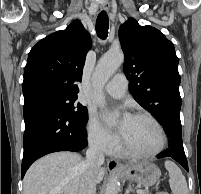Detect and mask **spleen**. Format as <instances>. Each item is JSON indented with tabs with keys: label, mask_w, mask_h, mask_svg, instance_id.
Returning <instances> with one entry per match:
<instances>
[{
	"label": "spleen",
	"mask_w": 201,
	"mask_h": 194,
	"mask_svg": "<svg viewBox=\"0 0 201 194\" xmlns=\"http://www.w3.org/2000/svg\"><path fill=\"white\" fill-rule=\"evenodd\" d=\"M165 168L169 173V184L172 193L188 194L187 182L180 168L172 161H166Z\"/></svg>",
	"instance_id": "3e777b00"
}]
</instances>
